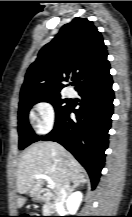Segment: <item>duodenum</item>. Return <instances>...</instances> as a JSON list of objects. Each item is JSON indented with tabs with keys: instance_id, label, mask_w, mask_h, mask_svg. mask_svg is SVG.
<instances>
[{
	"instance_id": "obj_1",
	"label": "duodenum",
	"mask_w": 132,
	"mask_h": 217,
	"mask_svg": "<svg viewBox=\"0 0 132 217\" xmlns=\"http://www.w3.org/2000/svg\"><path fill=\"white\" fill-rule=\"evenodd\" d=\"M38 196L41 200H51L52 199L51 193L47 190L40 191Z\"/></svg>"
}]
</instances>
